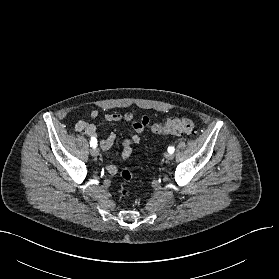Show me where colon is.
I'll return each mask as SVG.
<instances>
[{"instance_id": "1", "label": "colon", "mask_w": 279, "mask_h": 279, "mask_svg": "<svg viewBox=\"0 0 279 279\" xmlns=\"http://www.w3.org/2000/svg\"><path fill=\"white\" fill-rule=\"evenodd\" d=\"M196 129V123L190 118H175L167 120L164 123H154L151 126V131L155 134H190ZM121 177L125 181H130L133 178L132 173L125 169L121 172ZM120 195L122 198H126L130 195V191L127 188H122L120 190Z\"/></svg>"}]
</instances>
